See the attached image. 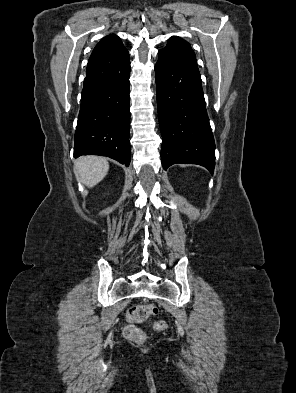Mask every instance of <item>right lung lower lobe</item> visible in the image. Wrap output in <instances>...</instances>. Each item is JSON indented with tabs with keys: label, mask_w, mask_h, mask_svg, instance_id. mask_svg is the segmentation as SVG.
Returning <instances> with one entry per match:
<instances>
[{
	"label": "right lung lower lobe",
	"mask_w": 296,
	"mask_h": 393,
	"mask_svg": "<svg viewBox=\"0 0 296 393\" xmlns=\"http://www.w3.org/2000/svg\"><path fill=\"white\" fill-rule=\"evenodd\" d=\"M129 76V53L125 48L91 54L74 137L75 158L94 154L129 165Z\"/></svg>",
	"instance_id": "obj_1"
}]
</instances>
